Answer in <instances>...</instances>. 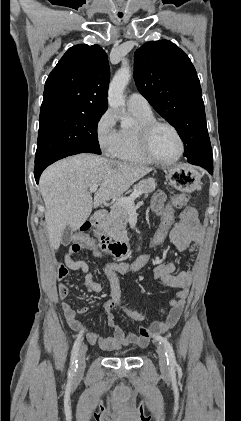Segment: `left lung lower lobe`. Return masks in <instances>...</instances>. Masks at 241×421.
<instances>
[{
    "instance_id": "0a47b994",
    "label": "left lung lower lobe",
    "mask_w": 241,
    "mask_h": 421,
    "mask_svg": "<svg viewBox=\"0 0 241 421\" xmlns=\"http://www.w3.org/2000/svg\"><path fill=\"white\" fill-rule=\"evenodd\" d=\"M188 161L190 163H192V164H196V165H200V166L204 167L205 169H207V171L210 174H213V163H212V161L211 162H208V161H194V160H188Z\"/></svg>"
}]
</instances>
